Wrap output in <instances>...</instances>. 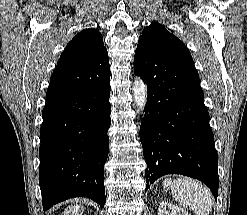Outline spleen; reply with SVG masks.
<instances>
[{
	"instance_id": "obj_1",
	"label": "spleen",
	"mask_w": 247,
	"mask_h": 215,
	"mask_svg": "<svg viewBox=\"0 0 247 215\" xmlns=\"http://www.w3.org/2000/svg\"><path fill=\"white\" fill-rule=\"evenodd\" d=\"M168 181L165 180L164 183ZM173 197L181 206H188L196 215H209L213 199L209 190L198 181L190 178H178L170 182Z\"/></svg>"
}]
</instances>
